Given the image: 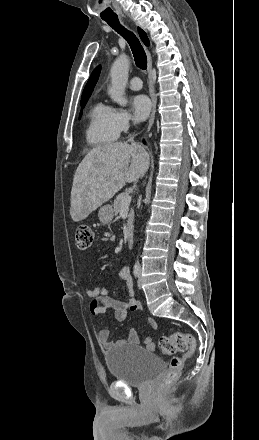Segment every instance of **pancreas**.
I'll use <instances>...</instances> for the list:
<instances>
[{"label":"pancreas","mask_w":259,"mask_h":440,"mask_svg":"<svg viewBox=\"0 0 259 440\" xmlns=\"http://www.w3.org/2000/svg\"><path fill=\"white\" fill-rule=\"evenodd\" d=\"M127 195H129L127 192L122 193V194L118 195L116 197V199L114 200V209L113 210H114L115 215H118L120 213L121 209L124 207V205L122 203V199ZM133 219H134V211H133V209H131L129 212L128 221H127L129 226L132 225Z\"/></svg>","instance_id":"cf45deb5"}]
</instances>
